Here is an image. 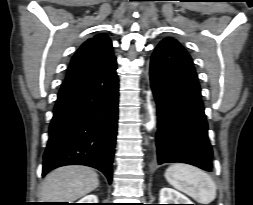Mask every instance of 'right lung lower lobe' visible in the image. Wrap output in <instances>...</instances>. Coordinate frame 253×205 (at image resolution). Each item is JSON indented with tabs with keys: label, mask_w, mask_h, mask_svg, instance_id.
I'll list each match as a JSON object with an SVG mask.
<instances>
[{
	"label": "right lung lower lobe",
	"mask_w": 253,
	"mask_h": 205,
	"mask_svg": "<svg viewBox=\"0 0 253 205\" xmlns=\"http://www.w3.org/2000/svg\"><path fill=\"white\" fill-rule=\"evenodd\" d=\"M117 120L116 59L100 70L66 79L49 127L43 175L80 164L97 168L111 183Z\"/></svg>",
	"instance_id": "right-lung-lower-lobe-1"
}]
</instances>
